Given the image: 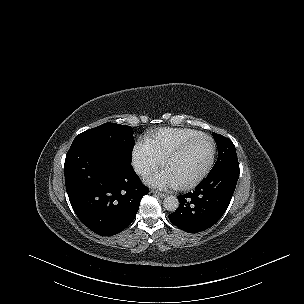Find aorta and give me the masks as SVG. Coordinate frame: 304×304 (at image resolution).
<instances>
[{
    "label": "aorta",
    "mask_w": 304,
    "mask_h": 304,
    "mask_svg": "<svg viewBox=\"0 0 304 304\" xmlns=\"http://www.w3.org/2000/svg\"><path fill=\"white\" fill-rule=\"evenodd\" d=\"M180 205L177 197L170 195L167 196L163 201L164 208L169 212H175Z\"/></svg>",
    "instance_id": "aorta-1"
}]
</instances>
